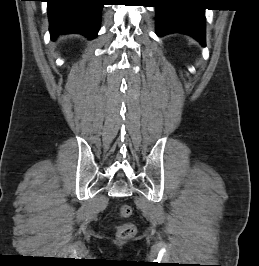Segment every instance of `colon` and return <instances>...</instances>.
<instances>
[{
    "label": "colon",
    "instance_id": "1",
    "mask_svg": "<svg viewBox=\"0 0 259 266\" xmlns=\"http://www.w3.org/2000/svg\"><path fill=\"white\" fill-rule=\"evenodd\" d=\"M117 213L122 218H128L132 214V209L127 204H121L117 208ZM135 232H136V228L134 224L129 223V222L122 223L118 225L116 228L117 237L121 240L130 239L131 237L134 236Z\"/></svg>",
    "mask_w": 259,
    "mask_h": 266
}]
</instances>
